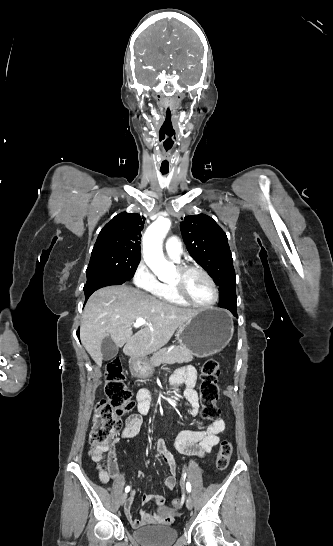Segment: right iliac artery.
Returning a JSON list of instances; mask_svg holds the SVG:
<instances>
[{"label": "right iliac artery", "mask_w": 333, "mask_h": 546, "mask_svg": "<svg viewBox=\"0 0 333 546\" xmlns=\"http://www.w3.org/2000/svg\"><path fill=\"white\" fill-rule=\"evenodd\" d=\"M130 491V486H126L125 492L128 493Z\"/></svg>", "instance_id": "obj_1"}]
</instances>
